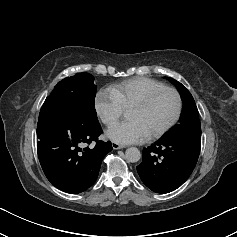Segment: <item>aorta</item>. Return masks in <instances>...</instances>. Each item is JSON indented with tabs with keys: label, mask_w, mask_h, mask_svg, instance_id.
Instances as JSON below:
<instances>
[{
	"label": "aorta",
	"mask_w": 237,
	"mask_h": 237,
	"mask_svg": "<svg viewBox=\"0 0 237 237\" xmlns=\"http://www.w3.org/2000/svg\"><path fill=\"white\" fill-rule=\"evenodd\" d=\"M125 158L128 162L136 163L141 158V153L138 148L130 147L125 152Z\"/></svg>",
	"instance_id": "obj_1"
}]
</instances>
